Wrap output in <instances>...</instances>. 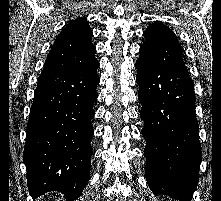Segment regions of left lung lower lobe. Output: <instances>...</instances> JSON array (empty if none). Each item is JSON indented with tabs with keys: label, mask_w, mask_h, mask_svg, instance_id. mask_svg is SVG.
I'll list each match as a JSON object with an SVG mask.
<instances>
[{
	"label": "left lung lower lobe",
	"mask_w": 221,
	"mask_h": 201,
	"mask_svg": "<svg viewBox=\"0 0 221 201\" xmlns=\"http://www.w3.org/2000/svg\"><path fill=\"white\" fill-rule=\"evenodd\" d=\"M136 68L148 185L155 195L190 201L202 161L192 79L142 58Z\"/></svg>",
	"instance_id": "1"
}]
</instances>
